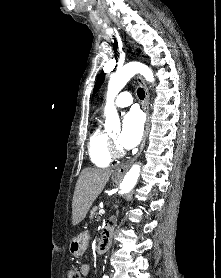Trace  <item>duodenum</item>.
<instances>
[{
    "mask_svg": "<svg viewBox=\"0 0 221 278\" xmlns=\"http://www.w3.org/2000/svg\"><path fill=\"white\" fill-rule=\"evenodd\" d=\"M113 231L114 228L112 223H109L104 227L101 237L96 246L97 254H103L109 249L112 241Z\"/></svg>",
    "mask_w": 221,
    "mask_h": 278,
    "instance_id": "obj_1",
    "label": "duodenum"
}]
</instances>
